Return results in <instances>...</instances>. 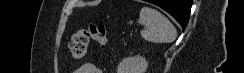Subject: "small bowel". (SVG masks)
<instances>
[{
	"instance_id": "obj_1",
	"label": "small bowel",
	"mask_w": 244,
	"mask_h": 73,
	"mask_svg": "<svg viewBox=\"0 0 244 73\" xmlns=\"http://www.w3.org/2000/svg\"><path fill=\"white\" fill-rule=\"evenodd\" d=\"M74 73H102L93 63L86 62L82 64Z\"/></svg>"
}]
</instances>
